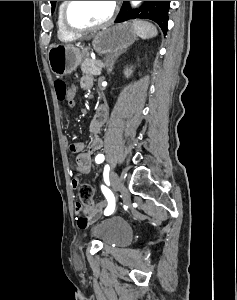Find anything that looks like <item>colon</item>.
Segmentation results:
<instances>
[{"mask_svg": "<svg viewBox=\"0 0 237 300\" xmlns=\"http://www.w3.org/2000/svg\"><path fill=\"white\" fill-rule=\"evenodd\" d=\"M56 96L61 101H67L71 107L76 105L75 97L69 96V89L66 83L58 79L54 82ZM78 196L82 205L83 214L87 217H92L96 214V209L93 204L94 187L90 183H82L78 185Z\"/></svg>", "mask_w": 237, "mask_h": 300, "instance_id": "obj_1", "label": "colon"}]
</instances>
